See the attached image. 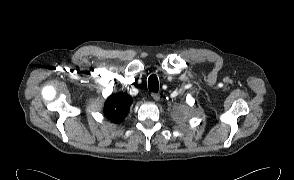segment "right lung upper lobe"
Returning a JSON list of instances; mask_svg holds the SVG:
<instances>
[{"label": "right lung upper lobe", "instance_id": "1", "mask_svg": "<svg viewBox=\"0 0 294 180\" xmlns=\"http://www.w3.org/2000/svg\"><path fill=\"white\" fill-rule=\"evenodd\" d=\"M131 103L132 99L127 94L118 93L111 95L106 101L104 113L108 119L114 123H119L127 115Z\"/></svg>", "mask_w": 294, "mask_h": 180}]
</instances>
